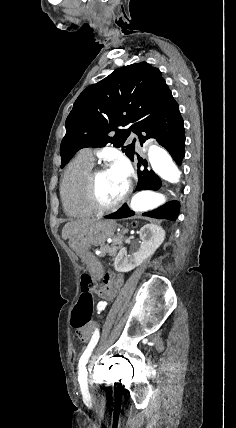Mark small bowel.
I'll return each mask as SVG.
<instances>
[{
  "mask_svg": "<svg viewBox=\"0 0 236 428\" xmlns=\"http://www.w3.org/2000/svg\"><path fill=\"white\" fill-rule=\"evenodd\" d=\"M123 284V277L117 273H108L104 277V286L99 289L98 294L102 298L97 304V311L101 315L107 304L111 302L118 294ZM93 331V326L89 325L82 330L77 331V335L83 341L88 340Z\"/></svg>",
  "mask_w": 236,
  "mask_h": 428,
  "instance_id": "obj_1",
  "label": "small bowel"
}]
</instances>
